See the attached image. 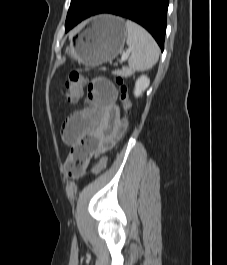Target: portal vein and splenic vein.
Masks as SVG:
<instances>
[{
    "instance_id": "obj_1",
    "label": "portal vein and splenic vein",
    "mask_w": 227,
    "mask_h": 265,
    "mask_svg": "<svg viewBox=\"0 0 227 265\" xmlns=\"http://www.w3.org/2000/svg\"><path fill=\"white\" fill-rule=\"evenodd\" d=\"M130 52H131V50H128V51H126V52H124L122 54V56H121V61L122 62L125 61V60H127V58L129 57Z\"/></svg>"
}]
</instances>
